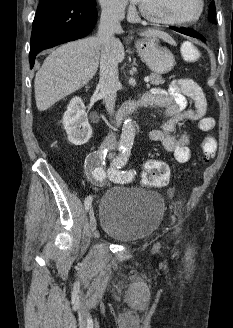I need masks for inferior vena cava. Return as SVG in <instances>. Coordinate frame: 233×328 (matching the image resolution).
Returning <instances> with one entry per match:
<instances>
[{
    "label": "inferior vena cava",
    "mask_w": 233,
    "mask_h": 328,
    "mask_svg": "<svg viewBox=\"0 0 233 328\" xmlns=\"http://www.w3.org/2000/svg\"><path fill=\"white\" fill-rule=\"evenodd\" d=\"M125 15V3L111 0L102 5V13L98 29V38L102 44L100 55V93L105 101L109 113L114 112L118 79V61L112 50L115 42L114 33L122 31L120 21ZM115 133L111 132L104 139L101 147L113 150L116 145Z\"/></svg>",
    "instance_id": "1"
}]
</instances>
